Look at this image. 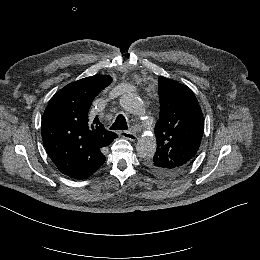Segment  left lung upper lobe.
<instances>
[{
	"instance_id": "obj_1",
	"label": "left lung upper lobe",
	"mask_w": 260,
	"mask_h": 260,
	"mask_svg": "<svg viewBox=\"0 0 260 260\" xmlns=\"http://www.w3.org/2000/svg\"><path fill=\"white\" fill-rule=\"evenodd\" d=\"M160 117L155 126L156 153L150 170L175 176L192 164L199 149L204 119L200 105L185 85L159 78Z\"/></svg>"
}]
</instances>
